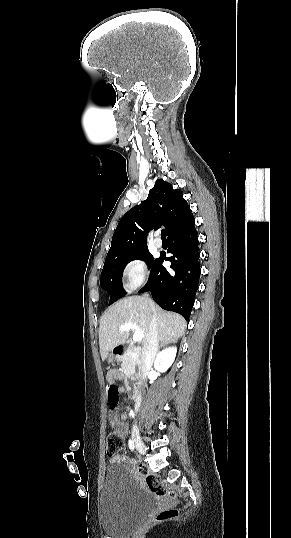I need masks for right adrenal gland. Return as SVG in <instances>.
<instances>
[{
	"label": "right adrenal gland",
	"mask_w": 291,
	"mask_h": 538,
	"mask_svg": "<svg viewBox=\"0 0 291 538\" xmlns=\"http://www.w3.org/2000/svg\"><path fill=\"white\" fill-rule=\"evenodd\" d=\"M172 342L174 343V342H176V341H172ZM164 345H165V343H161V344L159 345V347H158V350H160V348H161L162 346H164Z\"/></svg>",
	"instance_id": "1"
}]
</instances>
